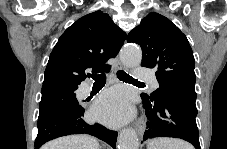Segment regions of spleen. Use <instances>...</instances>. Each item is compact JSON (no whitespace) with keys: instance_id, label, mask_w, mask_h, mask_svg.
<instances>
[{"instance_id":"obj_1","label":"spleen","mask_w":227,"mask_h":149,"mask_svg":"<svg viewBox=\"0 0 227 149\" xmlns=\"http://www.w3.org/2000/svg\"><path fill=\"white\" fill-rule=\"evenodd\" d=\"M147 149H192V146L178 139L160 137L152 139Z\"/></svg>"}]
</instances>
